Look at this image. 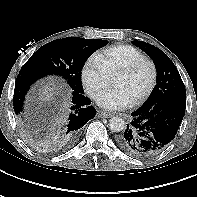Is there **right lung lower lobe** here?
I'll return each mask as SVG.
<instances>
[{"label":"right lung lower lobe","mask_w":197,"mask_h":197,"mask_svg":"<svg viewBox=\"0 0 197 197\" xmlns=\"http://www.w3.org/2000/svg\"><path fill=\"white\" fill-rule=\"evenodd\" d=\"M44 76L29 70H20L14 91V110L17 115L23 114V102L30 86ZM90 104L91 101L83 93L72 92L69 103L52 124L47 126L54 143L71 145L77 139L81 128L96 115V110Z\"/></svg>","instance_id":"1"}]
</instances>
